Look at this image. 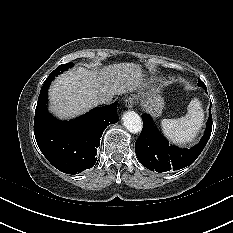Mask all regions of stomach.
I'll return each instance as SVG.
<instances>
[{
	"label": "stomach",
	"mask_w": 233,
	"mask_h": 233,
	"mask_svg": "<svg viewBox=\"0 0 233 233\" xmlns=\"http://www.w3.org/2000/svg\"><path fill=\"white\" fill-rule=\"evenodd\" d=\"M159 93V89L152 88L150 92L141 99V105L153 117L161 116L164 108V100Z\"/></svg>",
	"instance_id": "stomach-1"
}]
</instances>
